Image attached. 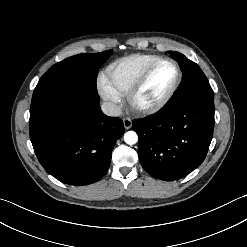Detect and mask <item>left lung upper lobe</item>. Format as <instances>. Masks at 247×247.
<instances>
[{"mask_svg":"<svg viewBox=\"0 0 247 247\" xmlns=\"http://www.w3.org/2000/svg\"><path fill=\"white\" fill-rule=\"evenodd\" d=\"M184 74V82L167 108L178 107L197 100H214V92L201 68L179 52H172Z\"/></svg>","mask_w":247,"mask_h":247,"instance_id":"left-lung-upper-lobe-1","label":"left lung upper lobe"}]
</instances>
